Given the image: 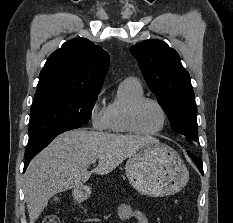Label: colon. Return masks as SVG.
I'll return each instance as SVG.
<instances>
[{"instance_id":"colon-1","label":"colon","mask_w":233,"mask_h":223,"mask_svg":"<svg viewBox=\"0 0 233 223\" xmlns=\"http://www.w3.org/2000/svg\"><path fill=\"white\" fill-rule=\"evenodd\" d=\"M43 223H60V220L55 213H51L44 218Z\"/></svg>"}]
</instances>
